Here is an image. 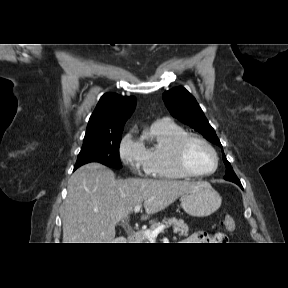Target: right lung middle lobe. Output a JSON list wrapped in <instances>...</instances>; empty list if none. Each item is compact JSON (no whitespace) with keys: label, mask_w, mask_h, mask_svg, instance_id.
<instances>
[{"label":"right lung middle lobe","mask_w":288,"mask_h":288,"mask_svg":"<svg viewBox=\"0 0 288 288\" xmlns=\"http://www.w3.org/2000/svg\"><path fill=\"white\" fill-rule=\"evenodd\" d=\"M121 134L122 131L84 140L74 170L89 162H99L109 167L121 168L119 156Z\"/></svg>","instance_id":"1"}]
</instances>
